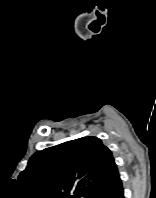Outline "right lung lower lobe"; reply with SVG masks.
Returning <instances> with one entry per match:
<instances>
[{"label":"right lung lower lobe","instance_id":"right-lung-lower-lobe-1","mask_svg":"<svg viewBox=\"0 0 156 198\" xmlns=\"http://www.w3.org/2000/svg\"><path fill=\"white\" fill-rule=\"evenodd\" d=\"M111 198H124L123 188L119 189Z\"/></svg>","mask_w":156,"mask_h":198}]
</instances>
